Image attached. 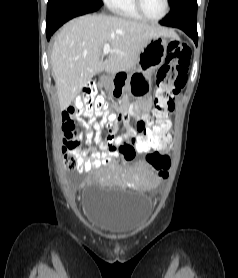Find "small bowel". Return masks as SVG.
Segmentation results:
<instances>
[{
    "mask_svg": "<svg viewBox=\"0 0 238 278\" xmlns=\"http://www.w3.org/2000/svg\"><path fill=\"white\" fill-rule=\"evenodd\" d=\"M148 108L149 104L146 101H142L138 105L125 103L118 114L114 113L112 110L96 111L93 113H74L71 109L64 111L62 113V126L68 120H72L74 123L76 122L79 126L85 129L86 143L88 145L95 143L98 147L97 149L89 148L78 155V170L82 172H89L101 167L102 165L110 164L119 153L124 156L122 151V147L124 146L118 145L119 138H125V141H128V137L146 136L145 134L149 131L151 125L153 124V121L148 114ZM82 113L89 118L88 122L81 118ZM132 118L137 121L136 129L129 126V121ZM118 121L122 123V135H116L118 131L116 122ZM106 126L110 129L108 138H111V141H114V146H105V141H108V138H104L103 129ZM81 138V135L78 134L74 139L80 142ZM66 139L67 135L65 134V140ZM169 140L170 136L167 134L164 137V141ZM154 150V152L159 153L157 151L159 149ZM156 181V178L151 172L146 174V185L152 186L156 183Z\"/></svg>",
    "mask_w": 238,
    "mask_h": 278,
    "instance_id": "small-bowel-1",
    "label": "small bowel"
}]
</instances>
